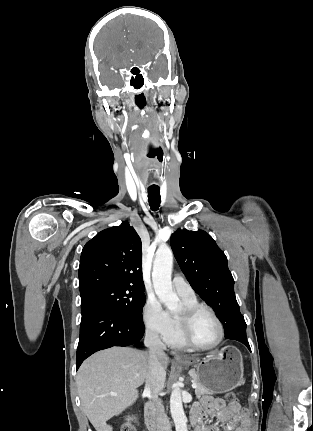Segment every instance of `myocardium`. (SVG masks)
I'll return each mask as SVG.
<instances>
[{"mask_svg": "<svg viewBox=\"0 0 313 431\" xmlns=\"http://www.w3.org/2000/svg\"><path fill=\"white\" fill-rule=\"evenodd\" d=\"M201 312L209 313L213 317V319L215 320L219 328V336L217 341L207 346L195 343L191 338V334H190L193 321L195 317ZM176 318H177L178 327H179V334L185 346H188L190 348L197 349V350H212L217 348L224 340L225 331H224L223 323L218 317V315L215 313V311L208 306L201 305V304L184 305L182 310L176 315Z\"/></svg>", "mask_w": 313, "mask_h": 431, "instance_id": "myocardium-1", "label": "myocardium"}]
</instances>
